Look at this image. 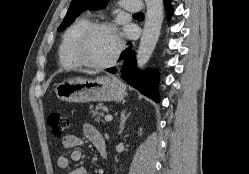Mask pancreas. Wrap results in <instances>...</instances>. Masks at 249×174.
Masks as SVG:
<instances>
[{"mask_svg":"<svg viewBox=\"0 0 249 174\" xmlns=\"http://www.w3.org/2000/svg\"><path fill=\"white\" fill-rule=\"evenodd\" d=\"M103 104H98L95 106L94 110H92L93 117L97 115L96 121H100V117L103 116V112H99V110H103Z\"/></svg>","mask_w":249,"mask_h":174,"instance_id":"cf45deb5","label":"pancreas"}]
</instances>
